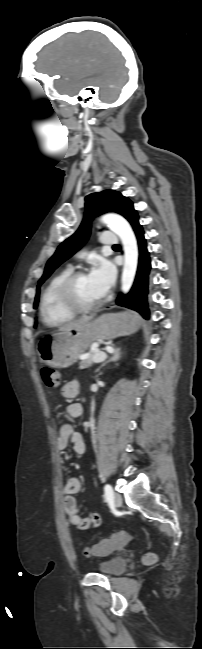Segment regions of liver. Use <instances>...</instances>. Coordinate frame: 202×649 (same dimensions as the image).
I'll return each instance as SVG.
<instances>
[{"label":"liver","mask_w":202,"mask_h":649,"mask_svg":"<svg viewBox=\"0 0 202 649\" xmlns=\"http://www.w3.org/2000/svg\"><path fill=\"white\" fill-rule=\"evenodd\" d=\"M92 319H93L92 316H90V317H82V318H80L78 320L65 323L64 325L59 327V331H68V330H71V329H76V328L83 327L86 324H88Z\"/></svg>","instance_id":"liver-1"}]
</instances>
